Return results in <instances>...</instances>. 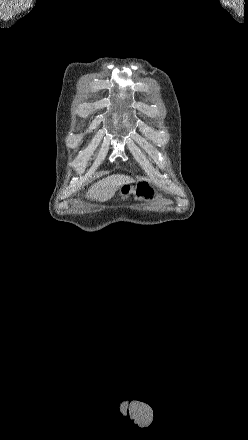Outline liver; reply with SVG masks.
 I'll return each mask as SVG.
<instances>
[{"label": "liver", "instance_id": "1", "mask_svg": "<svg viewBox=\"0 0 248 440\" xmlns=\"http://www.w3.org/2000/svg\"><path fill=\"white\" fill-rule=\"evenodd\" d=\"M134 182L132 177L123 174L108 176L92 185L87 193V198L105 201L110 199L122 185Z\"/></svg>", "mask_w": 248, "mask_h": 440}]
</instances>
